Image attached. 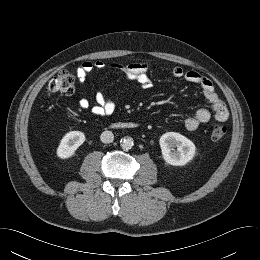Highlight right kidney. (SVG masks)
<instances>
[{"mask_svg":"<svg viewBox=\"0 0 260 260\" xmlns=\"http://www.w3.org/2000/svg\"><path fill=\"white\" fill-rule=\"evenodd\" d=\"M84 141L85 135L81 131H70L66 133L57 148V156L61 159L71 157Z\"/></svg>","mask_w":260,"mask_h":260,"instance_id":"1","label":"right kidney"}]
</instances>
